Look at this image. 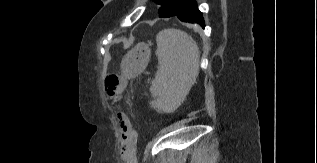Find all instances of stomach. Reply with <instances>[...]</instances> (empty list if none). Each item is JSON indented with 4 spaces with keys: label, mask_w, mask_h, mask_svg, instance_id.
Masks as SVG:
<instances>
[{
    "label": "stomach",
    "mask_w": 317,
    "mask_h": 163,
    "mask_svg": "<svg viewBox=\"0 0 317 163\" xmlns=\"http://www.w3.org/2000/svg\"><path fill=\"white\" fill-rule=\"evenodd\" d=\"M150 60V48L145 43H139L123 57L121 71L125 77H134L141 73Z\"/></svg>",
    "instance_id": "1"
}]
</instances>
